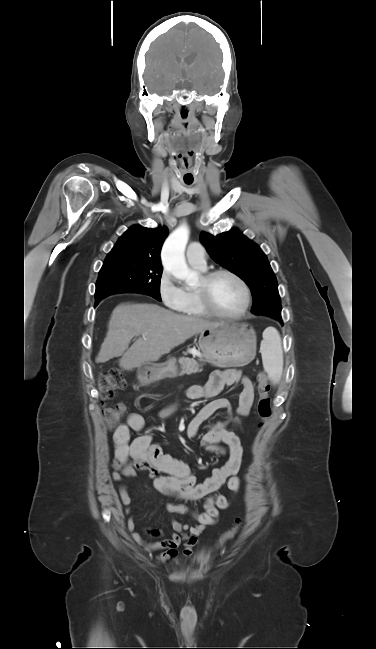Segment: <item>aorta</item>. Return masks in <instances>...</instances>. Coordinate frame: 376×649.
Returning a JSON list of instances; mask_svg holds the SVG:
<instances>
[{
	"label": "aorta",
	"instance_id": "obj_1",
	"mask_svg": "<svg viewBox=\"0 0 376 649\" xmlns=\"http://www.w3.org/2000/svg\"><path fill=\"white\" fill-rule=\"evenodd\" d=\"M189 239V229L182 225L165 241L162 249V264L175 278L192 284L197 281V273L185 261V248Z\"/></svg>",
	"mask_w": 376,
	"mask_h": 649
}]
</instances>
